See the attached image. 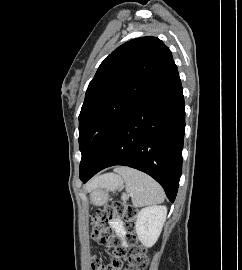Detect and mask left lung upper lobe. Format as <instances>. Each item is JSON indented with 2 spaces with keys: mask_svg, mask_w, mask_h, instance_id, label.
Listing matches in <instances>:
<instances>
[{
  "mask_svg": "<svg viewBox=\"0 0 242 270\" xmlns=\"http://www.w3.org/2000/svg\"><path fill=\"white\" fill-rule=\"evenodd\" d=\"M173 65L171 51L156 37L126 42L101 63L79 115L80 174L90 167L119 123Z\"/></svg>",
  "mask_w": 242,
  "mask_h": 270,
  "instance_id": "left-lung-upper-lobe-1",
  "label": "left lung upper lobe"
}]
</instances>
